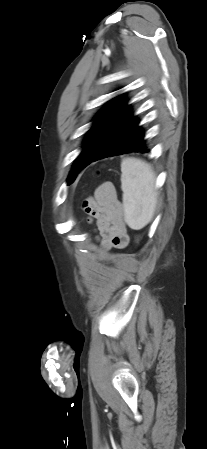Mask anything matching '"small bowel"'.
<instances>
[{
	"label": "small bowel",
	"mask_w": 207,
	"mask_h": 449,
	"mask_svg": "<svg viewBox=\"0 0 207 449\" xmlns=\"http://www.w3.org/2000/svg\"><path fill=\"white\" fill-rule=\"evenodd\" d=\"M88 221H95L97 240L105 250L123 249L129 236L123 219V208L114 185L110 182L100 185L93 197L83 203Z\"/></svg>",
	"instance_id": "obj_1"
}]
</instances>
